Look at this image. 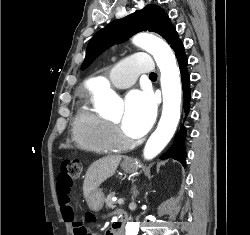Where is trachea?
Instances as JSON below:
<instances>
[{
	"mask_svg": "<svg viewBox=\"0 0 250 235\" xmlns=\"http://www.w3.org/2000/svg\"><path fill=\"white\" fill-rule=\"evenodd\" d=\"M149 77H157V74L156 73H150Z\"/></svg>",
	"mask_w": 250,
	"mask_h": 235,
	"instance_id": "trachea-1",
	"label": "trachea"
}]
</instances>
